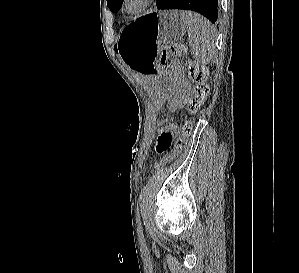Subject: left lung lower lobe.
<instances>
[{
  "instance_id": "0a47b994",
  "label": "left lung lower lobe",
  "mask_w": 299,
  "mask_h": 273,
  "mask_svg": "<svg viewBox=\"0 0 299 273\" xmlns=\"http://www.w3.org/2000/svg\"><path fill=\"white\" fill-rule=\"evenodd\" d=\"M158 9H183L198 12L215 23L218 18V0H157Z\"/></svg>"
}]
</instances>
